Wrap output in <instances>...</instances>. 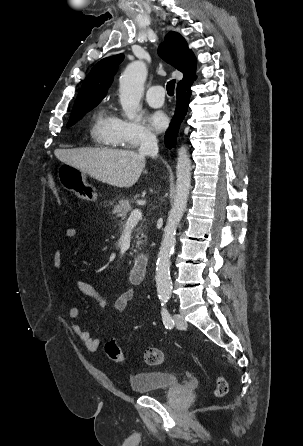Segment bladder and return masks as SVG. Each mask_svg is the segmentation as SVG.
Masks as SVG:
<instances>
[{
    "mask_svg": "<svg viewBox=\"0 0 303 446\" xmlns=\"http://www.w3.org/2000/svg\"><path fill=\"white\" fill-rule=\"evenodd\" d=\"M129 383L131 391L135 394L167 391L181 385V381L176 374L157 370L144 371L132 375Z\"/></svg>",
    "mask_w": 303,
    "mask_h": 446,
    "instance_id": "obj_1",
    "label": "bladder"
}]
</instances>
